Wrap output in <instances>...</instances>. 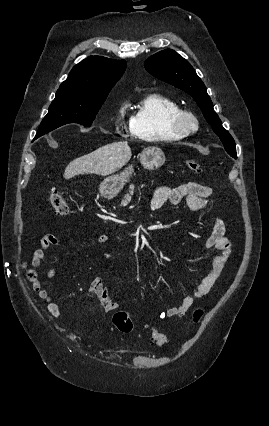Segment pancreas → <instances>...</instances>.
Wrapping results in <instances>:
<instances>
[{
	"mask_svg": "<svg viewBox=\"0 0 269 426\" xmlns=\"http://www.w3.org/2000/svg\"><path fill=\"white\" fill-rule=\"evenodd\" d=\"M133 194H134V185L131 184L129 186V192L124 196V199L122 200L121 206H125L131 200V195Z\"/></svg>",
	"mask_w": 269,
	"mask_h": 426,
	"instance_id": "cf45deb5",
	"label": "pancreas"
}]
</instances>
